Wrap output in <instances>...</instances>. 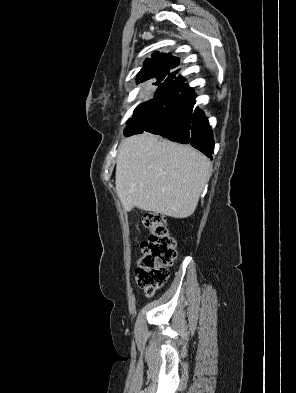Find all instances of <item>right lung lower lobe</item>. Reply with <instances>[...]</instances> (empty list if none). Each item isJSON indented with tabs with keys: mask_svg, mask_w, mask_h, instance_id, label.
I'll return each mask as SVG.
<instances>
[{
	"mask_svg": "<svg viewBox=\"0 0 296 393\" xmlns=\"http://www.w3.org/2000/svg\"><path fill=\"white\" fill-rule=\"evenodd\" d=\"M175 74L159 86L154 98L127 124L124 135L150 132L191 144L212 159L214 140L208 119L198 107L194 109V91L184 84L182 76L176 78Z\"/></svg>",
	"mask_w": 296,
	"mask_h": 393,
	"instance_id": "98d812e1",
	"label": "right lung lower lobe"
}]
</instances>
